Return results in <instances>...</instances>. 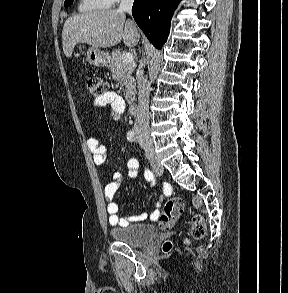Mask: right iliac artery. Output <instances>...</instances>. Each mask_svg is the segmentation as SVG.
Listing matches in <instances>:
<instances>
[{
  "mask_svg": "<svg viewBox=\"0 0 288 293\" xmlns=\"http://www.w3.org/2000/svg\"><path fill=\"white\" fill-rule=\"evenodd\" d=\"M135 132L134 131H129L128 133H127V139L129 140V141H131V142H133V141H135Z\"/></svg>",
  "mask_w": 288,
  "mask_h": 293,
  "instance_id": "1",
  "label": "right iliac artery"
}]
</instances>
